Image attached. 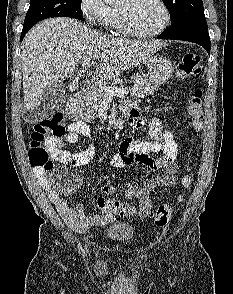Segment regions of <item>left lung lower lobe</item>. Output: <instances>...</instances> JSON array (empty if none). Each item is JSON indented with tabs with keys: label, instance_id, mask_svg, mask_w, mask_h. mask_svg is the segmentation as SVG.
I'll return each instance as SVG.
<instances>
[{
	"label": "left lung lower lobe",
	"instance_id": "obj_1",
	"mask_svg": "<svg viewBox=\"0 0 233 294\" xmlns=\"http://www.w3.org/2000/svg\"><path fill=\"white\" fill-rule=\"evenodd\" d=\"M159 39L190 41L201 45L210 54V38L207 25H191L177 30H168L158 35Z\"/></svg>",
	"mask_w": 233,
	"mask_h": 294
}]
</instances>
